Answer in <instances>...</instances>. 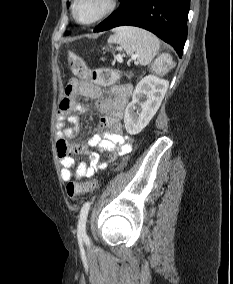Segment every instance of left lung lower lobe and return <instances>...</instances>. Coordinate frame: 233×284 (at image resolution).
Listing matches in <instances>:
<instances>
[{"mask_svg":"<svg viewBox=\"0 0 233 284\" xmlns=\"http://www.w3.org/2000/svg\"><path fill=\"white\" fill-rule=\"evenodd\" d=\"M189 8L190 0H121L119 8L97 25L94 32L123 25L144 28L173 46L182 57Z\"/></svg>","mask_w":233,"mask_h":284,"instance_id":"left-lung-lower-lobe-1","label":"left lung lower lobe"}]
</instances>
